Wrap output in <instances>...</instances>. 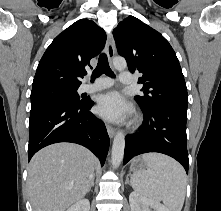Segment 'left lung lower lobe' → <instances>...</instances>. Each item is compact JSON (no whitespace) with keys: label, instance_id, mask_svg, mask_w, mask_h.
Segmentation results:
<instances>
[{"label":"left lung lower lobe","instance_id":"left-lung-lower-lobe-1","mask_svg":"<svg viewBox=\"0 0 221 211\" xmlns=\"http://www.w3.org/2000/svg\"><path fill=\"white\" fill-rule=\"evenodd\" d=\"M144 121L139 132L126 136L125 165L134 156L148 152L169 155L182 164L188 174L186 136L187 107L165 105L143 110Z\"/></svg>","mask_w":221,"mask_h":211}]
</instances>
